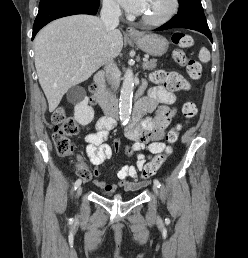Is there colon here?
<instances>
[{"label": "colon", "instance_id": "1", "mask_svg": "<svg viewBox=\"0 0 248 258\" xmlns=\"http://www.w3.org/2000/svg\"><path fill=\"white\" fill-rule=\"evenodd\" d=\"M172 42L178 47H189L192 45V38L189 34L182 31H175L172 34ZM176 49L173 52V58L175 62L183 67H185L189 77L193 80H199L202 76L201 64L194 58L188 57L182 49ZM154 81L158 83H163L167 86L170 91H179L185 89V82L174 74L173 72L157 71L153 74ZM91 90H94V85H92ZM198 109L195 102L188 100L184 102L182 106V114L185 120H191L197 115ZM52 122L55 124V130L52 134V140L55 145L56 151L61 157H71L75 153V145L71 140V137L76 135L79 131V124L73 118L66 116L65 108L59 107L52 114ZM181 131V125H176L172 128L167 135V140L169 143H174ZM113 146L117 150L122 146V141H113ZM134 144H125V150L123 152V157L130 160L133 159L134 155ZM171 153V149L168 147L163 154L155 157L151 162H149L143 169L142 178L150 179L154 176L159 169V167L164 163L167 156ZM75 173L84 181H88L91 178V171L88 166L81 160L75 165Z\"/></svg>", "mask_w": 248, "mask_h": 258}]
</instances>
